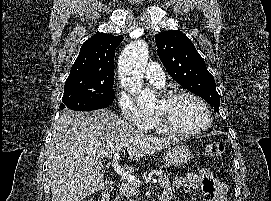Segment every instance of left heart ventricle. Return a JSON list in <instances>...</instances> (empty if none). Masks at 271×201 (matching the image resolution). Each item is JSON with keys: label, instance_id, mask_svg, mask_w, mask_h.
<instances>
[{"label": "left heart ventricle", "instance_id": "left-heart-ventricle-1", "mask_svg": "<svg viewBox=\"0 0 271 201\" xmlns=\"http://www.w3.org/2000/svg\"><path fill=\"white\" fill-rule=\"evenodd\" d=\"M153 113L181 130L198 129L208 122V115L202 105L188 97H178L170 101L158 99L154 103Z\"/></svg>", "mask_w": 271, "mask_h": 201}]
</instances>
